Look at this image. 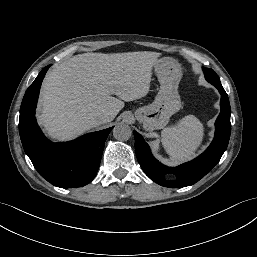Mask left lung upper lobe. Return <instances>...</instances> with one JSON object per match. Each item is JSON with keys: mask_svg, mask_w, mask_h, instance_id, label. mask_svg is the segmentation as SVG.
<instances>
[{"mask_svg": "<svg viewBox=\"0 0 257 257\" xmlns=\"http://www.w3.org/2000/svg\"><path fill=\"white\" fill-rule=\"evenodd\" d=\"M203 70H204L205 78L208 82H210L214 86L221 85L218 75L212 69L203 67Z\"/></svg>", "mask_w": 257, "mask_h": 257, "instance_id": "1", "label": "left lung upper lobe"}]
</instances>
